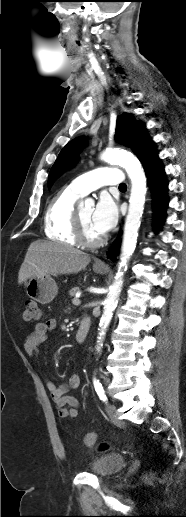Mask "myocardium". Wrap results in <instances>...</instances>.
Instances as JSON below:
<instances>
[{
  "instance_id": "myocardium-1",
  "label": "myocardium",
  "mask_w": 186,
  "mask_h": 517,
  "mask_svg": "<svg viewBox=\"0 0 186 517\" xmlns=\"http://www.w3.org/2000/svg\"><path fill=\"white\" fill-rule=\"evenodd\" d=\"M74 223H75V237L79 244L86 246V247H97L104 242V240H105L104 236L92 238L87 235L79 211L75 212Z\"/></svg>"
}]
</instances>
